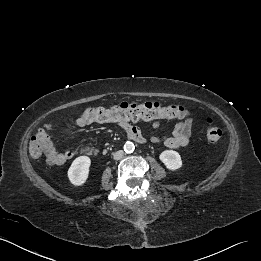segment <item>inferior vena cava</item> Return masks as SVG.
<instances>
[{"label":"inferior vena cava","mask_w":261,"mask_h":261,"mask_svg":"<svg viewBox=\"0 0 261 261\" xmlns=\"http://www.w3.org/2000/svg\"><path fill=\"white\" fill-rule=\"evenodd\" d=\"M124 152L122 150H119L113 154L114 160H119L122 158Z\"/></svg>","instance_id":"obj_1"}]
</instances>
